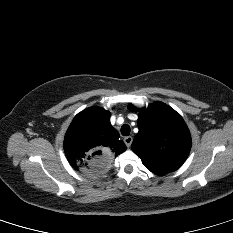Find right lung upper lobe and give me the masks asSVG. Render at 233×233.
I'll list each match as a JSON object with an SVG mask.
<instances>
[{
	"mask_svg": "<svg viewBox=\"0 0 233 233\" xmlns=\"http://www.w3.org/2000/svg\"><path fill=\"white\" fill-rule=\"evenodd\" d=\"M110 116L100 107H90L75 116L64 140L65 154L73 168L91 176L101 175L126 150Z\"/></svg>",
	"mask_w": 233,
	"mask_h": 233,
	"instance_id": "obj_1",
	"label": "right lung upper lobe"
}]
</instances>
